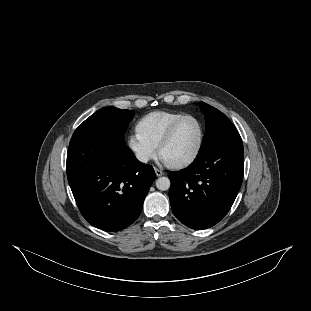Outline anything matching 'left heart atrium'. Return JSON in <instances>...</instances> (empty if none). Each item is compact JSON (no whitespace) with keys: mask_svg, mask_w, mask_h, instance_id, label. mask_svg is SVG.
Returning a JSON list of instances; mask_svg holds the SVG:
<instances>
[{"mask_svg":"<svg viewBox=\"0 0 311 311\" xmlns=\"http://www.w3.org/2000/svg\"><path fill=\"white\" fill-rule=\"evenodd\" d=\"M161 160H162L164 163L168 164L163 158H161Z\"/></svg>","mask_w":311,"mask_h":311,"instance_id":"39dd6f15","label":"left heart atrium"}]
</instances>
